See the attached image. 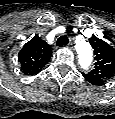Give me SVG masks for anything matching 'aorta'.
Instances as JSON below:
<instances>
[{"label": "aorta", "mask_w": 115, "mask_h": 119, "mask_svg": "<svg viewBox=\"0 0 115 119\" xmlns=\"http://www.w3.org/2000/svg\"><path fill=\"white\" fill-rule=\"evenodd\" d=\"M76 49L78 53V61L83 69H88L93 60V52L91 45L84 39L76 42Z\"/></svg>", "instance_id": "1"}]
</instances>
